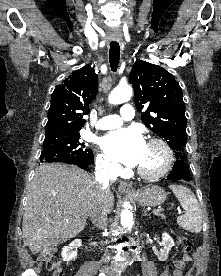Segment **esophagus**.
Wrapping results in <instances>:
<instances>
[{"label": "esophagus", "instance_id": "34e87169", "mask_svg": "<svg viewBox=\"0 0 221 276\" xmlns=\"http://www.w3.org/2000/svg\"><path fill=\"white\" fill-rule=\"evenodd\" d=\"M118 190L122 193H133L134 190L132 189L131 185L125 181H121L118 185Z\"/></svg>", "mask_w": 221, "mask_h": 276}]
</instances>
